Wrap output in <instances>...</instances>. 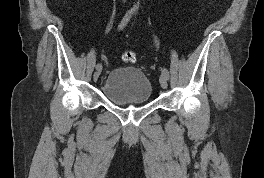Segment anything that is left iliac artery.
<instances>
[{
    "mask_svg": "<svg viewBox=\"0 0 264 178\" xmlns=\"http://www.w3.org/2000/svg\"><path fill=\"white\" fill-rule=\"evenodd\" d=\"M162 74H164L167 78H169V71L166 68H163Z\"/></svg>",
    "mask_w": 264,
    "mask_h": 178,
    "instance_id": "left-iliac-artery-1",
    "label": "left iliac artery"
}]
</instances>
